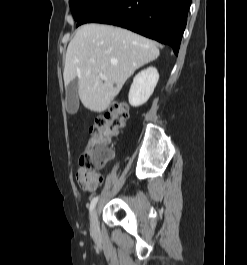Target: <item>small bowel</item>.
<instances>
[{
  "label": "small bowel",
  "mask_w": 247,
  "mask_h": 265,
  "mask_svg": "<svg viewBox=\"0 0 247 265\" xmlns=\"http://www.w3.org/2000/svg\"><path fill=\"white\" fill-rule=\"evenodd\" d=\"M76 180L83 190L92 192L101 184L102 177L87 174L82 168H79L76 172Z\"/></svg>",
  "instance_id": "c3829d8e"
}]
</instances>
